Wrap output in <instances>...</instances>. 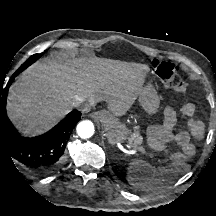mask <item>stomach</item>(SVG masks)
<instances>
[{
  "mask_svg": "<svg viewBox=\"0 0 216 216\" xmlns=\"http://www.w3.org/2000/svg\"><path fill=\"white\" fill-rule=\"evenodd\" d=\"M138 101L149 115H153L158 112L160 100L156 90L153 87H143L138 95ZM104 130L108 141L111 144H116L117 142L123 143L129 140L130 132L124 126L113 125L106 122L104 124Z\"/></svg>",
  "mask_w": 216,
  "mask_h": 216,
  "instance_id": "obj_1",
  "label": "stomach"
}]
</instances>
